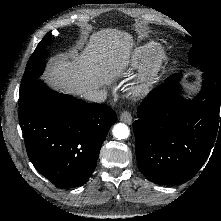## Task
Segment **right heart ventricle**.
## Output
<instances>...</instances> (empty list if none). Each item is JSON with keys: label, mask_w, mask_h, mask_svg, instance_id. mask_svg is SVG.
<instances>
[{"label": "right heart ventricle", "mask_w": 221, "mask_h": 221, "mask_svg": "<svg viewBox=\"0 0 221 221\" xmlns=\"http://www.w3.org/2000/svg\"><path fill=\"white\" fill-rule=\"evenodd\" d=\"M155 48L154 42H148L142 46H140L135 53L136 62L143 61Z\"/></svg>", "instance_id": "e07e8e85"}]
</instances>
